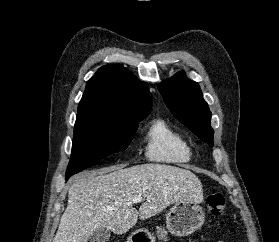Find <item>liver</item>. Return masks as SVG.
Instances as JSON below:
<instances>
[{"label": "liver", "instance_id": "1", "mask_svg": "<svg viewBox=\"0 0 279 242\" xmlns=\"http://www.w3.org/2000/svg\"><path fill=\"white\" fill-rule=\"evenodd\" d=\"M143 202L139 211L133 197ZM180 200H203L202 184L187 169L163 164L112 166L81 174L68 191V205L53 242H87L98 228L120 235Z\"/></svg>", "mask_w": 279, "mask_h": 242}]
</instances>
